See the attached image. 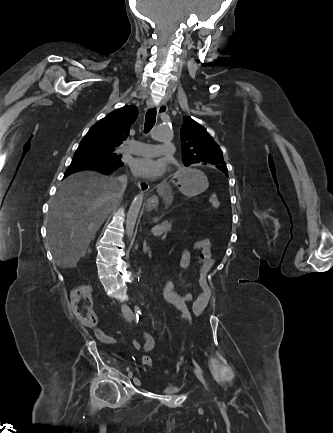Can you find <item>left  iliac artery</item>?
<instances>
[{
  "instance_id": "left-iliac-artery-1",
  "label": "left iliac artery",
  "mask_w": 333,
  "mask_h": 433,
  "mask_svg": "<svg viewBox=\"0 0 333 433\" xmlns=\"http://www.w3.org/2000/svg\"><path fill=\"white\" fill-rule=\"evenodd\" d=\"M135 313H136V315H138V314L141 315V311H140V309L138 308V306H135ZM193 363H194V365L196 366V368H198L200 371H202L201 368L199 367V365H198L194 360H193Z\"/></svg>"
}]
</instances>
